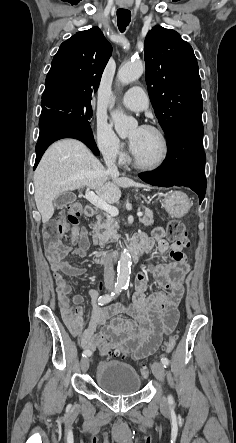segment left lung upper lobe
<instances>
[{"label":"left lung upper lobe","instance_id":"obj_1","mask_svg":"<svg viewBox=\"0 0 236 443\" xmlns=\"http://www.w3.org/2000/svg\"><path fill=\"white\" fill-rule=\"evenodd\" d=\"M146 83L156 117L166 136L180 124L202 120L197 59L180 34L153 27L145 39Z\"/></svg>","mask_w":236,"mask_h":443}]
</instances>
